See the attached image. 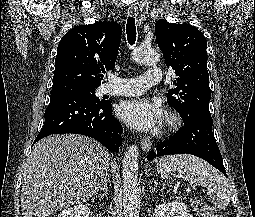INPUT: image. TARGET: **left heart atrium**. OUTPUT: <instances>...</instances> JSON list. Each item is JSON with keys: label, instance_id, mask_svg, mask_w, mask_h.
<instances>
[{"label": "left heart atrium", "instance_id": "39dd6f15", "mask_svg": "<svg viewBox=\"0 0 255 217\" xmlns=\"http://www.w3.org/2000/svg\"><path fill=\"white\" fill-rule=\"evenodd\" d=\"M120 118L130 127L140 131H154L163 121L161 105L148 98L124 101L118 110Z\"/></svg>", "mask_w": 255, "mask_h": 217}]
</instances>
